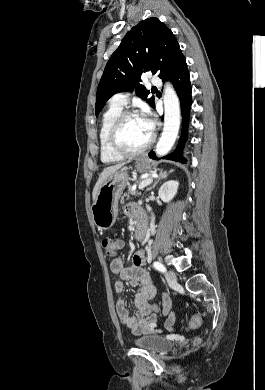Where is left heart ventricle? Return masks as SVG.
<instances>
[{"label": "left heart ventricle", "mask_w": 265, "mask_h": 390, "mask_svg": "<svg viewBox=\"0 0 265 390\" xmlns=\"http://www.w3.org/2000/svg\"><path fill=\"white\" fill-rule=\"evenodd\" d=\"M149 137L138 116L129 117L121 128V143L130 150L141 148Z\"/></svg>", "instance_id": "obj_1"}]
</instances>
